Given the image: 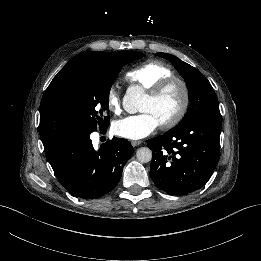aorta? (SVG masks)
Segmentation results:
<instances>
[{
    "instance_id": "762f6f07",
    "label": "aorta",
    "mask_w": 261,
    "mask_h": 261,
    "mask_svg": "<svg viewBox=\"0 0 261 261\" xmlns=\"http://www.w3.org/2000/svg\"><path fill=\"white\" fill-rule=\"evenodd\" d=\"M144 91L142 86H139V90L132 91L127 95L131 98V102L133 103L137 112H144L143 105L149 99V96L141 93ZM136 158L140 163H148L152 160V151L148 147H141L136 152Z\"/></svg>"
}]
</instances>
